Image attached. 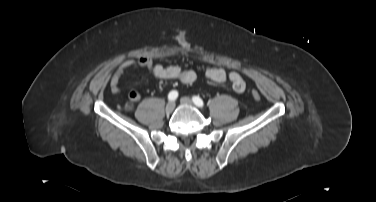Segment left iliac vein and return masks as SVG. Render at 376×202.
<instances>
[{
	"label": "left iliac vein",
	"instance_id": "left-iliac-vein-1",
	"mask_svg": "<svg viewBox=\"0 0 376 202\" xmlns=\"http://www.w3.org/2000/svg\"><path fill=\"white\" fill-rule=\"evenodd\" d=\"M180 102H181L182 104H185V105H190V106L193 105V101H192L189 97H182V98L180 99Z\"/></svg>",
	"mask_w": 376,
	"mask_h": 202
}]
</instances>
